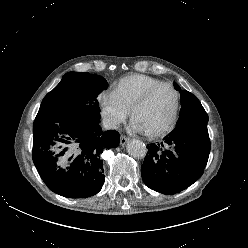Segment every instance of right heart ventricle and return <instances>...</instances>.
<instances>
[{"instance_id":"right-heart-ventricle-1","label":"right heart ventricle","mask_w":248,"mask_h":248,"mask_svg":"<svg viewBox=\"0 0 248 248\" xmlns=\"http://www.w3.org/2000/svg\"><path fill=\"white\" fill-rule=\"evenodd\" d=\"M162 81L143 74H131L120 79L113 89L118 102L130 112L134 104L151 87Z\"/></svg>"}]
</instances>
